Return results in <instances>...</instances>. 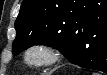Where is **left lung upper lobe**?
Instances as JSON below:
<instances>
[{"label": "left lung upper lobe", "mask_w": 107, "mask_h": 75, "mask_svg": "<svg viewBox=\"0 0 107 75\" xmlns=\"http://www.w3.org/2000/svg\"><path fill=\"white\" fill-rule=\"evenodd\" d=\"M98 6L89 0H23L15 21L13 54L37 44L53 46L64 55L81 52L79 26Z\"/></svg>", "instance_id": "obj_1"}]
</instances>
